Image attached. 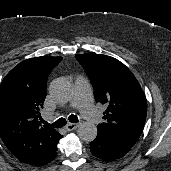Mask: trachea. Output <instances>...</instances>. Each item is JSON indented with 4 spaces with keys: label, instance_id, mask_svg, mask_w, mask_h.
Listing matches in <instances>:
<instances>
[{
    "label": "trachea",
    "instance_id": "trachea-1",
    "mask_svg": "<svg viewBox=\"0 0 171 171\" xmlns=\"http://www.w3.org/2000/svg\"><path fill=\"white\" fill-rule=\"evenodd\" d=\"M69 121L71 123H77L78 122V117L76 115H70L68 117ZM45 126L53 127V128H61L66 125L67 121L65 118H59L57 121L54 123L50 124L48 122L43 121Z\"/></svg>",
    "mask_w": 171,
    "mask_h": 171
}]
</instances>
